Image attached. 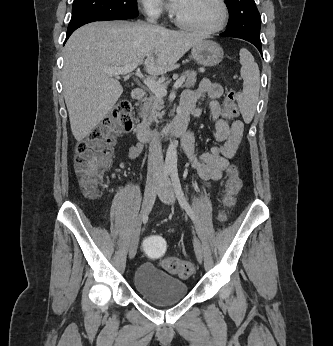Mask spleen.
I'll list each match as a JSON object with an SVG mask.
<instances>
[{"label": "spleen", "instance_id": "3e777b00", "mask_svg": "<svg viewBox=\"0 0 333 346\" xmlns=\"http://www.w3.org/2000/svg\"><path fill=\"white\" fill-rule=\"evenodd\" d=\"M241 76L243 90L236 95L239 109L245 122L253 119L258 102L260 88V72L252 54L245 48L240 50Z\"/></svg>", "mask_w": 333, "mask_h": 346}]
</instances>
